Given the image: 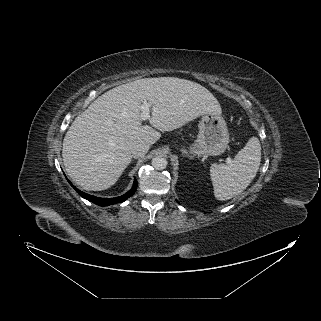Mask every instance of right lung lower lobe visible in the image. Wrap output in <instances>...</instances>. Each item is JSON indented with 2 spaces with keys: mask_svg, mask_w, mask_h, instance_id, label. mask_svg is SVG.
I'll use <instances>...</instances> for the list:
<instances>
[{
  "mask_svg": "<svg viewBox=\"0 0 321 321\" xmlns=\"http://www.w3.org/2000/svg\"><path fill=\"white\" fill-rule=\"evenodd\" d=\"M68 182L70 183V185L76 190V192L81 197H83L84 199L89 200L90 202H93L94 204H97L99 206H107V205H111V204H115V203L124 202L130 196H132L135 193L136 189H137V181L135 179L131 190L128 191L127 193H125L124 195L116 197V198H100V197H96V196L84 193V192L78 190L69 180H68Z\"/></svg>",
  "mask_w": 321,
  "mask_h": 321,
  "instance_id": "right-lung-lower-lobe-1",
  "label": "right lung lower lobe"
}]
</instances>
